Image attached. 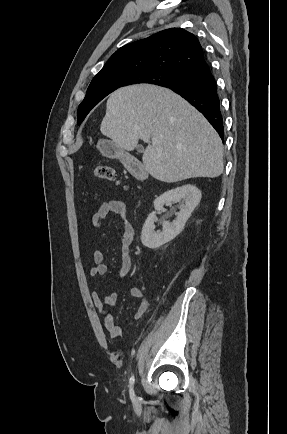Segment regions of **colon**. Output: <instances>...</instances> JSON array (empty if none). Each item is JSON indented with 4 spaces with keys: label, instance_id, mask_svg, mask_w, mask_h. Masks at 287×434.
<instances>
[{
    "label": "colon",
    "instance_id": "obj_1",
    "mask_svg": "<svg viewBox=\"0 0 287 434\" xmlns=\"http://www.w3.org/2000/svg\"><path fill=\"white\" fill-rule=\"evenodd\" d=\"M95 176L104 181H116L117 176L113 167L110 165H98L95 168Z\"/></svg>",
    "mask_w": 287,
    "mask_h": 434
}]
</instances>
